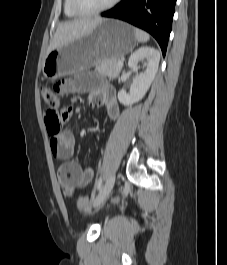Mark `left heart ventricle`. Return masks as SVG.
Wrapping results in <instances>:
<instances>
[{
  "label": "left heart ventricle",
  "instance_id": "obj_1",
  "mask_svg": "<svg viewBox=\"0 0 227 265\" xmlns=\"http://www.w3.org/2000/svg\"><path fill=\"white\" fill-rule=\"evenodd\" d=\"M78 1L83 9L93 10L106 5L111 0H78Z\"/></svg>",
  "mask_w": 227,
  "mask_h": 265
}]
</instances>
